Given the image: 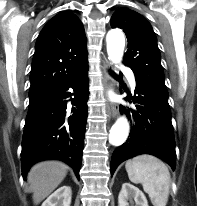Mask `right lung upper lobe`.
<instances>
[{
	"mask_svg": "<svg viewBox=\"0 0 197 206\" xmlns=\"http://www.w3.org/2000/svg\"><path fill=\"white\" fill-rule=\"evenodd\" d=\"M87 64L82 23L75 14L61 12L47 22L38 36L29 92H49Z\"/></svg>",
	"mask_w": 197,
	"mask_h": 206,
	"instance_id": "obj_1",
	"label": "right lung upper lobe"
}]
</instances>
